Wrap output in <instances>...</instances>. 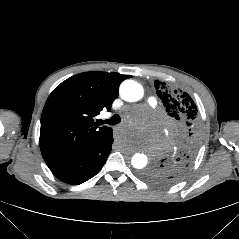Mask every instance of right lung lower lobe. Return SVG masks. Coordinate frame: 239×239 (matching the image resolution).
I'll return each instance as SVG.
<instances>
[{
  "instance_id": "right-lung-lower-lobe-1",
  "label": "right lung lower lobe",
  "mask_w": 239,
  "mask_h": 239,
  "mask_svg": "<svg viewBox=\"0 0 239 239\" xmlns=\"http://www.w3.org/2000/svg\"><path fill=\"white\" fill-rule=\"evenodd\" d=\"M112 133L110 128L81 152L48 167L59 180L67 184L77 185L89 180L107 160L113 143Z\"/></svg>"
}]
</instances>
